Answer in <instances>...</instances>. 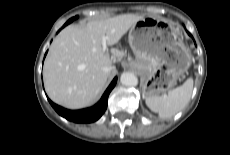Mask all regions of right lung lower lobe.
<instances>
[{
  "label": "right lung lower lobe",
  "mask_w": 230,
  "mask_h": 155,
  "mask_svg": "<svg viewBox=\"0 0 230 155\" xmlns=\"http://www.w3.org/2000/svg\"><path fill=\"white\" fill-rule=\"evenodd\" d=\"M66 25L67 24H65L64 26ZM116 82H117V78L115 77L113 81L111 82V84L109 85V87L107 88V90L105 91V93L103 94L100 101L96 105L90 108L72 111V110H67L63 107H60L54 104L51 100L49 99L48 100L50 104L52 105V107L56 110V112L62 117L66 118L67 120H70L76 123H91V122L98 120L105 112L107 108L108 96L111 90L116 85Z\"/></svg>",
  "instance_id": "1"
}]
</instances>
